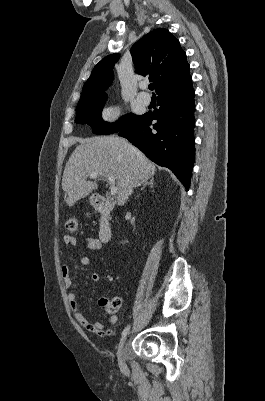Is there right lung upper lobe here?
I'll return each instance as SVG.
<instances>
[{
  "label": "right lung upper lobe",
  "instance_id": "right-lung-upper-lobe-1",
  "mask_svg": "<svg viewBox=\"0 0 265 401\" xmlns=\"http://www.w3.org/2000/svg\"><path fill=\"white\" fill-rule=\"evenodd\" d=\"M131 54L137 73L149 76L158 95L183 88L192 81L186 54L166 29L158 28L143 36L133 45ZM118 58L119 54L108 55L94 67L78 104L106 95L104 90L112 82V69Z\"/></svg>",
  "mask_w": 265,
  "mask_h": 401
}]
</instances>
